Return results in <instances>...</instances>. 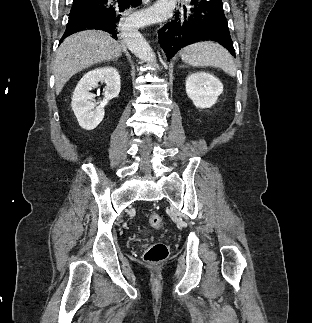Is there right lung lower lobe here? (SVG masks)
<instances>
[{"label":"right lung lower lobe","instance_id":"98d812e1","mask_svg":"<svg viewBox=\"0 0 312 323\" xmlns=\"http://www.w3.org/2000/svg\"><path fill=\"white\" fill-rule=\"evenodd\" d=\"M142 0H79L73 4L66 31L60 43L67 36L84 29H96L118 34L125 25L126 10L135 7Z\"/></svg>","mask_w":312,"mask_h":323}]
</instances>
